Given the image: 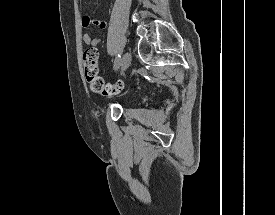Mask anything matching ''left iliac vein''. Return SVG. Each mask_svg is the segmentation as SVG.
I'll list each match as a JSON object with an SVG mask.
<instances>
[{
	"label": "left iliac vein",
	"mask_w": 275,
	"mask_h": 215,
	"mask_svg": "<svg viewBox=\"0 0 275 215\" xmlns=\"http://www.w3.org/2000/svg\"><path fill=\"white\" fill-rule=\"evenodd\" d=\"M131 63V53L126 52L124 53L122 59H121V73H124V71L130 66Z\"/></svg>",
	"instance_id": "1"
}]
</instances>
